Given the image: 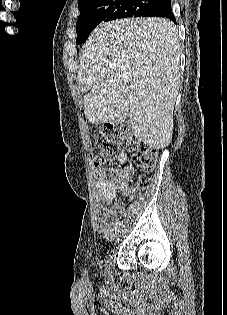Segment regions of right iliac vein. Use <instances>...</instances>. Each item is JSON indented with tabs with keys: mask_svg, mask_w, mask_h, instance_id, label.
Listing matches in <instances>:
<instances>
[{
	"mask_svg": "<svg viewBox=\"0 0 227 315\" xmlns=\"http://www.w3.org/2000/svg\"><path fill=\"white\" fill-rule=\"evenodd\" d=\"M120 236H121V229L119 228V229L116 231V233H115V238H116V239H119Z\"/></svg>",
	"mask_w": 227,
	"mask_h": 315,
	"instance_id": "63e3f726",
	"label": "right iliac vein"
}]
</instances>
